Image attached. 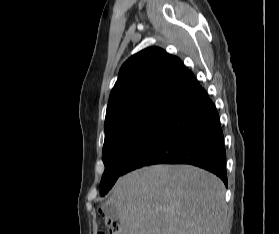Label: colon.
Masks as SVG:
<instances>
[{"mask_svg":"<svg viewBox=\"0 0 279 234\" xmlns=\"http://www.w3.org/2000/svg\"><path fill=\"white\" fill-rule=\"evenodd\" d=\"M99 234H124V231L118 223L108 220L106 222L105 231Z\"/></svg>","mask_w":279,"mask_h":234,"instance_id":"1","label":"colon"}]
</instances>
